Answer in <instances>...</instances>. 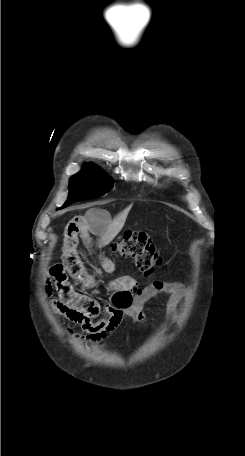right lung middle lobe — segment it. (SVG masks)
Returning <instances> with one entry per match:
<instances>
[{
    "instance_id": "dd1d6c3e",
    "label": "right lung middle lobe",
    "mask_w": 245,
    "mask_h": 456,
    "mask_svg": "<svg viewBox=\"0 0 245 456\" xmlns=\"http://www.w3.org/2000/svg\"><path fill=\"white\" fill-rule=\"evenodd\" d=\"M113 183L112 178L105 176L95 167H84L82 172L71 177L69 197L61 208L73 202L102 196L111 190Z\"/></svg>"
}]
</instances>
